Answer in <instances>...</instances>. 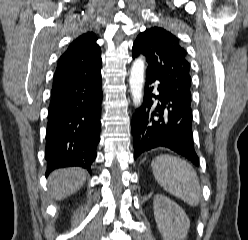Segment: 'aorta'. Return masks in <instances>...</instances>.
I'll return each mask as SVG.
<instances>
[{
	"label": "aorta",
	"instance_id": "aorta-1",
	"mask_svg": "<svg viewBox=\"0 0 248 240\" xmlns=\"http://www.w3.org/2000/svg\"><path fill=\"white\" fill-rule=\"evenodd\" d=\"M144 85V59L138 58L134 61L129 77V86L136 107H140L143 101Z\"/></svg>",
	"mask_w": 248,
	"mask_h": 240
}]
</instances>
